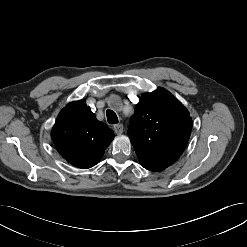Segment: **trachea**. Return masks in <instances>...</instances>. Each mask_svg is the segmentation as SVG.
I'll list each match as a JSON object with an SVG mask.
<instances>
[{"label": "trachea", "mask_w": 247, "mask_h": 247, "mask_svg": "<svg viewBox=\"0 0 247 247\" xmlns=\"http://www.w3.org/2000/svg\"><path fill=\"white\" fill-rule=\"evenodd\" d=\"M106 116L109 124H117L118 123V117L116 113L113 110H107Z\"/></svg>", "instance_id": "3493384b"}]
</instances>
